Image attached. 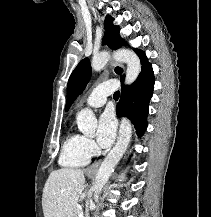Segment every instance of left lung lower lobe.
<instances>
[{
    "label": "left lung lower lobe",
    "mask_w": 211,
    "mask_h": 217,
    "mask_svg": "<svg viewBox=\"0 0 211 217\" xmlns=\"http://www.w3.org/2000/svg\"><path fill=\"white\" fill-rule=\"evenodd\" d=\"M153 88L154 75L151 64L141 69L136 81L130 86L122 87L121 98L116 108L117 115L129 118L138 136H142L147 128L148 106Z\"/></svg>",
    "instance_id": "left-lung-lower-lobe-1"
}]
</instances>
